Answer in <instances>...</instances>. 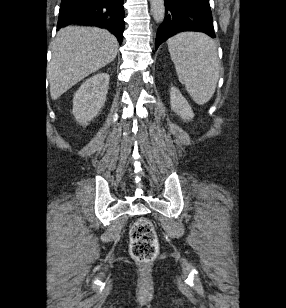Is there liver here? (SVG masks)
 I'll return each instance as SVG.
<instances>
[{
	"label": "liver",
	"mask_w": 286,
	"mask_h": 308,
	"mask_svg": "<svg viewBox=\"0 0 286 308\" xmlns=\"http://www.w3.org/2000/svg\"><path fill=\"white\" fill-rule=\"evenodd\" d=\"M117 52V39L107 30L78 26L60 29L48 70L51 98L58 99L79 81L109 64Z\"/></svg>",
	"instance_id": "obj_1"
}]
</instances>
